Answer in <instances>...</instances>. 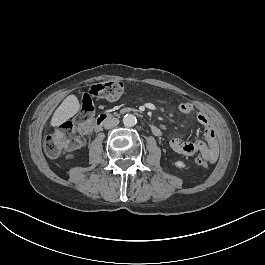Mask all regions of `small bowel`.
Here are the masks:
<instances>
[{
  "label": "small bowel",
  "mask_w": 265,
  "mask_h": 265,
  "mask_svg": "<svg viewBox=\"0 0 265 265\" xmlns=\"http://www.w3.org/2000/svg\"><path fill=\"white\" fill-rule=\"evenodd\" d=\"M178 109L181 113L190 116L203 126L207 143L201 140L187 142L178 137H174L169 142L170 148L174 152L186 156H192L199 153L205 158L207 163H214L218 158V146L210 120L203 113L197 112L194 106L187 101H181L178 104Z\"/></svg>",
  "instance_id": "1"
}]
</instances>
